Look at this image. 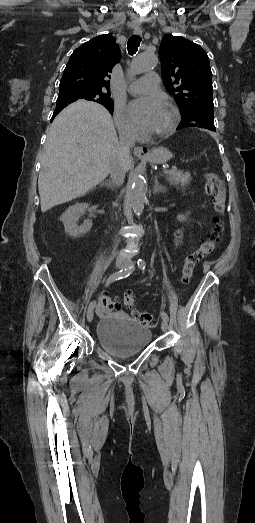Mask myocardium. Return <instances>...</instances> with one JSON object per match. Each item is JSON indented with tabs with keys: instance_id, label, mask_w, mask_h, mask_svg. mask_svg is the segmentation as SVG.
<instances>
[{
	"instance_id": "1",
	"label": "myocardium",
	"mask_w": 255,
	"mask_h": 523,
	"mask_svg": "<svg viewBox=\"0 0 255 523\" xmlns=\"http://www.w3.org/2000/svg\"><path fill=\"white\" fill-rule=\"evenodd\" d=\"M163 104L167 105L168 107H170L172 109V111L174 113L173 123H172L171 127L168 129V131H166L164 134H162L156 138H148L146 136L142 137L143 140H145L146 142H155V141H159V140L168 138L169 136H171L172 134L175 133V131L177 130V128L179 126L181 116H180V112H179L178 108L169 101H164Z\"/></svg>"
}]
</instances>
